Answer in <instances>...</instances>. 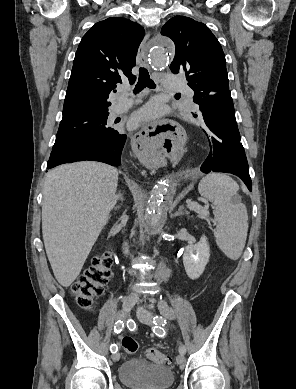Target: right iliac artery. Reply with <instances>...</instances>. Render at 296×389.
Masks as SVG:
<instances>
[{"instance_id":"1","label":"right iliac artery","mask_w":296,"mask_h":389,"mask_svg":"<svg viewBox=\"0 0 296 389\" xmlns=\"http://www.w3.org/2000/svg\"><path fill=\"white\" fill-rule=\"evenodd\" d=\"M124 327V322L122 320H118L116 323H115V326H114V331L115 333H120L122 331ZM118 350V347L116 344H112L111 347H110V351L112 353H116Z\"/></svg>"}]
</instances>
